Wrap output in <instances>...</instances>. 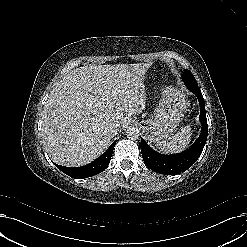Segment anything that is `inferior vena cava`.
Masks as SVG:
<instances>
[{"label": "inferior vena cava", "instance_id": "602c4592", "mask_svg": "<svg viewBox=\"0 0 247 247\" xmlns=\"http://www.w3.org/2000/svg\"><path fill=\"white\" fill-rule=\"evenodd\" d=\"M107 132L111 135H116L119 132V124L117 123H112L106 128Z\"/></svg>", "mask_w": 247, "mask_h": 247}]
</instances>
